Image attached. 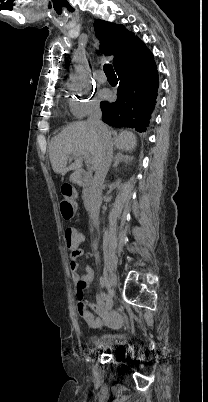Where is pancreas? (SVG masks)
<instances>
[{
	"mask_svg": "<svg viewBox=\"0 0 208 402\" xmlns=\"http://www.w3.org/2000/svg\"><path fill=\"white\" fill-rule=\"evenodd\" d=\"M82 194H83V198H85V196H89L90 188H86V186H84V188L82 190Z\"/></svg>",
	"mask_w": 208,
	"mask_h": 402,
	"instance_id": "pancreas-1",
	"label": "pancreas"
}]
</instances>
